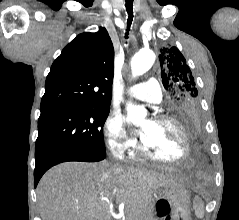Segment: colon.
Masks as SVG:
<instances>
[{"label":"colon","instance_id":"obj_1","mask_svg":"<svg viewBox=\"0 0 239 220\" xmlns=\"http://www.w3.org/2000/svg\"><path fill=\"white\" fill-rule=\"evenodd\" d=\"M190 94H193V91H189ZM158 212L159 215L166 220H169L170 218V213H171V207L168 201L162 200L158 203Z\"/></svg>","mask_w":239,"mask_h":220}]
</instances>
